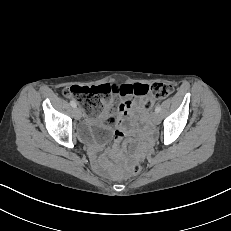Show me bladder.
<instances>
[{"label":"bladder","mask_w":231,"mask_h":231,"mask_svg":"<svg viewBox=\"0 0 231 231\" xmlns=\"http://www.w3.org/2000/svg\"><path fill=\"white\" fill-rule=\"evenodd\" d=\"M94 135V132L90 128H79L77 136L82 142H89Z\"/></svg>","instance_id":"1"}]
</instances>
